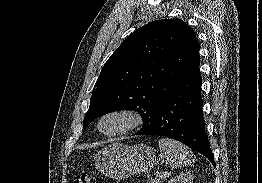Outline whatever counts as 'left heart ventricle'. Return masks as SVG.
<instances>
[{
  "label": "left heart ventricle",
  "mask_w": 262,
  "mask_h": 183,
  "mask_svg": "<svg viewBox=\"0 0 262 183\" xmlns=\"http://www.w3.org/2000/svg\"><path fill=\"white\" fill-rule=\"evenodd\" d=\"M126 121L120 116H110L106 118L102 123V129L105 132H113L125 125Z\"/></svg>",
  "instance_id": "1"
}]
</instances>
